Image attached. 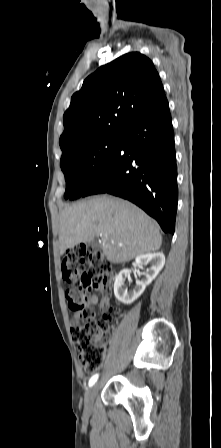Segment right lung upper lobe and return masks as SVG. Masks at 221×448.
I'll use <instances>...</instances> for the list:
<instances>
[{"label":"right lung upper lobe","instance_id":"cb5924a9","mask_svg":"<svg viewBox=\"0 0 221 448\" xmlns=\"http://www.w3.org/2000/svg\"><path fill=\"white\" fill-rule=\"evenodd\" d=\"M166 98L152 61L127 53L88 76L64 113L62 158L90 141L119 135L134 118Z\"/></svg>","mask_w":221,"mask_h":448}]
</instances>
